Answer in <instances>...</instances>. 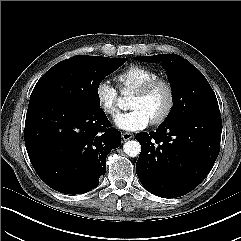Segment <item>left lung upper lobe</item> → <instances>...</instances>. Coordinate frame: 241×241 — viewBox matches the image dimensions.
Segmentation results:
<instances>
[{
	"mask_svg": "<svg viewBox=\"0 0 241 241\" xmlns=\"http://www.w3.org/2000/svg\"><path fill=\"white\" fill-rule=\"evenodd\" d=\"M137 60L162 62L171 83L173 107L162 124L191 114L220 115L216 96L204 75L177 54L139 56Z\"/></svg>",
	"mask_w": 241,
	"mask_h": 241,
	"instance_id": "5c2ea615",
	"label": "left lung upper lobe"
}]
</instances>
